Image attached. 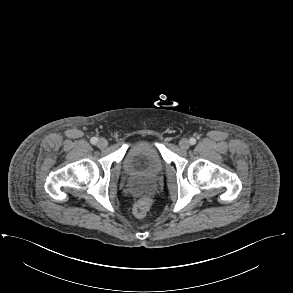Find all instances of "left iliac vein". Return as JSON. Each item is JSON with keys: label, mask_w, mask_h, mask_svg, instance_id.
<instances>
[{"label": "left iliac vein", "mask_w": 293, "mask_h": 293, "mask_svg": "<svg viewBox=\"0 0 293 293\" xmlns=\"http://www.w3.org/2000/svg\"><path fill=\"white\" fill-rule=\"evenodd\" d=\"M190 146V142L189 140H187L186 138H183L180 140L179 142V147L182 149V150H187Z\"/></svg>", "instance_id": "obj_1"}]
</instances>
